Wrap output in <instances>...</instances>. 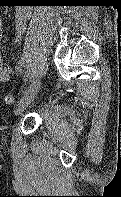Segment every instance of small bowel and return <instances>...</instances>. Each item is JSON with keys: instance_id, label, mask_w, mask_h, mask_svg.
<instances>
[{"instance_id": "small-bowel-1", "label": "small bowel", "mask_w": 121, "mask_h": 197, "mask_svg": "<svg viewBox=\"0 0 121 197\" xmlns=\"http://www.w3.org/2000/svg\"><path fill=\"white\" fill-rule=\"evenodd\" d=\"M30 17V10L27 8L19 7L15 12V26H14V40L15 46H19L22 39V34L26 29L27 22ZM2 35V19L0 17V38ZM12 74V68L10 66H5L3 64L2 55L0 52V82L8 81L10 75Z\"/></svg>"}]
</instances>
